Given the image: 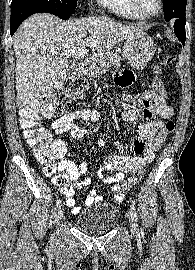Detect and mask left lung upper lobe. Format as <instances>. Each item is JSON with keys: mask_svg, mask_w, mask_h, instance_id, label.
<instances>
[{"mask_svg": "<svg viewBox=\"0 0 195 270\" xmlns=\"http://www.w3.org/2000/svg\"><path fill=\"white\" fill-rule=\"evenodd\" d=\"M186 3L187 0H163L165 20L185 19Z\"/></svg>", "mask_w": 195, "mask_h": 270, "instance_id": "left-lung-upper-lobe-1", "label": "left lung upper lobe"}]
</instances>
